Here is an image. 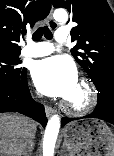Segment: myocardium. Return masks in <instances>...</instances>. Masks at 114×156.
Here are the masks:
<instances>
[{"mask_svg":"<svg viewBox=\"0 0 114 156\" xmlns=\"http://www.w3.org/2000/svg\"><path fill=\"white\" fill-rule=\"evenodd\" d=\"M85 93V100L83 103L76 105L68 99L64 101V109L70 115H82L91 111L97 104V93L94 85L87 79H81L77 83Z\"/></svg>","mask_w":114,"mask_h":156,"instance_id":"myocardium-1","label":"myocardium"}]
</instances>
